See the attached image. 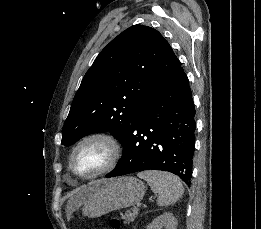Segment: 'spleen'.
Listing matches in <instances>:
<instances>
[{
  "mask_svg": "<svg viewBox=\"0 0 261 229\" xmlns=\"http://www.w3.org/2000/svg\"><path fill=\"white\" fill-rule=\"evenodd\" d=\"M139 179L147 181L153 193H158V207H169L177 203L184 193V187L179 179L166 171H142L138 173Z\"/></svg>",
  "mask_w": 261,
  "mask_h": 229,
  "instance_id": "3e777b00",
  "label": "spleen"
}]
</instances>
